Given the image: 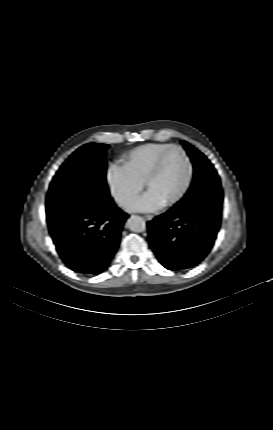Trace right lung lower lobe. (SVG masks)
Returning <instances> with one entry per match:
<instances>
[{
  "label": "right lung lower lobe",
  "instance_id": "right-lung-lower-lobe-1",
  "mask_svg": "<svg viewBox=\"0 0 273 430\" xmlns=\"http://www.w3.org/2000/svg\"><path fill=\"white\" fill-rule=\"evenodd\" d=\"M128 214L113 203L88 202L47 216L49 232L67 267L84 275L107 269Z\"/></svg>",
  "mask_w": 273,
  "mask_h": 430
}]
</instances>
